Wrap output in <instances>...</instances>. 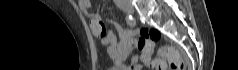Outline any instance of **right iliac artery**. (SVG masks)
I'll use <instances>...</instances> for the list:
<instances>
[{
    "label": "right iliac artery",
    "mask_w": 238,
    "mask_h": 70,
    "mask_svg": "<svg viewBox=\"0 0 238 70\" xmlns=\"http://www.w3.org/2000/svg\"><path fill=\"white\" fill-rule=\"evenodd\" d=\"M126 22L129 26L134 27L136 22L134 20V18L132 17V15H126Z\"/></svg>",
    "instance_id": "right-iliac-artery-1"
}]
</instances>
